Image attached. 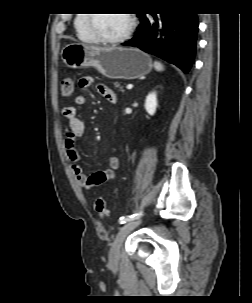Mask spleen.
I'll use <instances>...</instances> for the list:
<instances>
[{"mask_svg": "<svg viewBox=\"0 0 252 303\" xmlns=\"http://www.w3.org/2000/svg\"><path fill=\"white\" fill-rule=\"evenodd\" d=\"M154 68H155V70L158 71V72H161V71L164 70L163 64H162L161 62H159V61H155V62H154Z\"/></svg>", "mask_w": 252, "mask_h": 303, "instance_id": "3e777b00", "label": "spleen"}]
</instances>
